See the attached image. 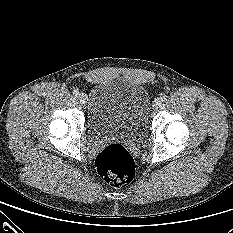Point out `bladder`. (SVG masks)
I'll return each instance as SVG.
<instances>
[{"instance_id":"bladder-1","label":"bladder","mask_w":233,"mask_h":233,"mask_svg":"<svg viewBox=\"0 0 233 233\" xmlns=\"http://www.w3.org/2000/svg\"><path fill=\"white\" fill-rule=\"evenodd\" d=\"M88 128L93 138H142L150 123V98L139 83L115 78L98 82L89 98Z\"/></svg>"}]
</instances>
